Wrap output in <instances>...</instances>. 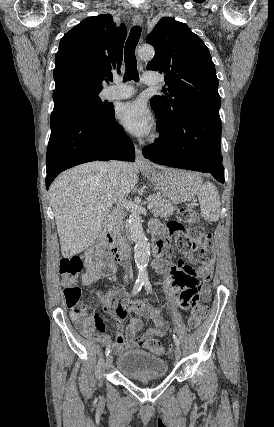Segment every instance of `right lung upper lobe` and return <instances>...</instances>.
Segmentation results:
<instances>
[{
	"label": "right lung upper lobe",
	"mask_w": 274,
	"mask_h": 427,
	"mask_svg": "<svg viewBox=\"0 0 274 427\" xmlns=\"http://www.w3.org/2000/svg\"><path fill=\"white\" fill-rule=\"evenodd\" d=\"M126 35L110 14L88 17L66 33L55 55L54 105L70 95L99 93L106 77L120 73Z\"/></svg>",
	"instance_id": "right-lung-upper-lobe-1"
}]
</instances>
